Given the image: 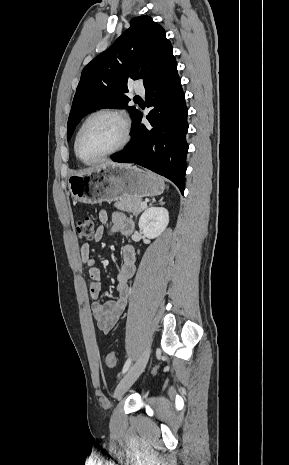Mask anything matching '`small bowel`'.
I'll return each instance as SVG.
<instances>
[{
	"label": "small bowel",
	"instance_id": "small-bowel-1",
	"mask_svg": "<svg viewBox=\"0 0 289 465\" xmlns=\"http://www.w3.org/2000/svg\"><path fill=\"white\" fill-rule=\"evenodd\" d=\"M101 225L95 232L94 239L101 242L108 234L105 225L111 221L110 233L119 232L130 235L133 232V222L121 212H114L109 216L107 211L99 212ZM91 246L88 242L80 247V256L83 263L87 265V286L90 296L94 299L91 309L97 327L104 333L110 332L118 322L124 311L130 295V285L135 273V251L130 245H126L121 251V266L117 274V294L106 302L98 299L101 292V272L95 266L90 256Z\"/></svg>",
	"mask_w": 289,
	"mask_h": 465
}]
</instances>
